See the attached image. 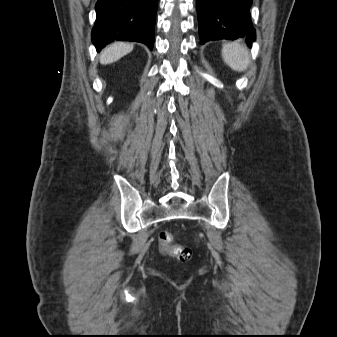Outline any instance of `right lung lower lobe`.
<instances>
[{"label": "right lung lower lobe", "instance_id": "right-lung-lower-lobe-1", "mask_svg": "<svg viewBox=\"0 0 337 337\" xmlns=\"http://www.w3.org/2000/svg\"><path fill=\"white\" fill-rule=\"evenodd\" d=\"M158 0H98L92 42L98 51L114 40L137 41L151 50Z\"/></svg>", "mask_w": 337, "mask_h": 337}]
</instances>
